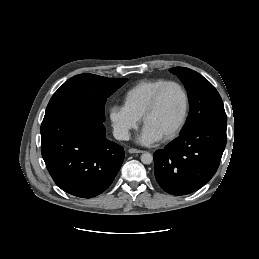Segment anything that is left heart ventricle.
<instances>
[{
  "mask_svg": "<svg viewBox=\"0 0 259 259\" xmlns=\"http://www.w3.org/2000/svg\"><path fill=\"white\" fill-rule=\"evenodd\" d=\"M184 109V96L176 86H169L162 94L157 110L148 118L145 127L160 138L178 124Z\"/></svg>",
  "mask_w": 259,
  "mask_h": 259,
  "instance_id": "1",
  "label": "left heart ventricle"
}]
</instances>
